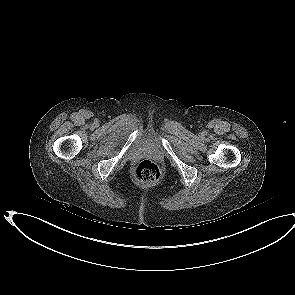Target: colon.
<instances>
[{"instance_id":"colon-1","label":"colon","mask_w":295,"mask_h":295,"mask_svg":"<svg viewBox=\"0 0 295 295\" xmlns=\"http://www.w3.org/2000/svg\"><path fill=\"white\" fill-rule=\"evenodd\" d=\"M136 182L143 186L155 184L160 178L159 167L150 160L141 161L134 171Z\"/></svg>"}]
</instances>
